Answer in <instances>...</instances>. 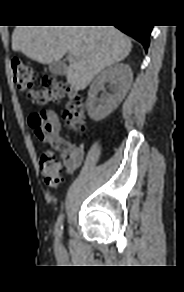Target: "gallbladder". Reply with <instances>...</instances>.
<instances>
[{"label": "gallbladder", "instance_id": "1", "mask_svg": "<svg viewBox=\"0 0 184 292\" xmlns=\"http://www.w3.org/2000/svg\"><path fill=\"white\" fill-rule=\"evenodd\" d=\"M66 69V65L62 62H53L49 64V70L54 75H65Z\"/></svg>", "mask_w": 184, "mask_h": 292}]
</instances>
